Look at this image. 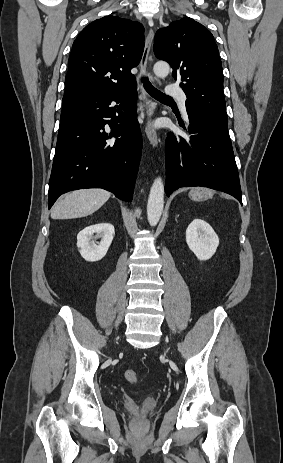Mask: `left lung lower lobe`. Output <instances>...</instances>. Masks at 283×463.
<instances>
[{
  "label": "left lung lower lobe",
  "instance_id": "obj_1",
  "mask_svg": "<svg viewBox=\"0 0 283 463\" xmlns=\"http://www.w3.org/2000/svg\"><path fill=\"white\" fill-rule=\"evenodd\" d=\"M186 138L169 133L165 144L169 196L179 187L204 186L226 192L242 204L239 175L228 125L187 110Z\"/></svg>",
  "mask_w": 283,
  "mask_h": 463
}]
</instances>
